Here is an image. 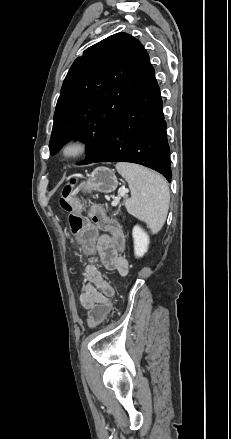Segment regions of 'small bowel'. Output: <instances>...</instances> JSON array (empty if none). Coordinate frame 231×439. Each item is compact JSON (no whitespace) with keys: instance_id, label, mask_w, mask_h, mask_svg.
<instances>
[{"instance_id":"c3829d8e","label":"small bowel","mask_w":231,"mask_h":439,"mask_svg":"<svg viewBox=\"0 0 231 439\" xmlns=\"http://www.w3.org/2000/svg\"><path fill=\"white\" fill-rule=\"evenodd\" d=\"M92 250L96 258L83 269V281L79 295L80 304L86 310L94 303L104 301L109 295L115 294L114 286L103 276L97 262H100L107 270L117 271L121 275L128 272L127 260L120 254L115 237L102 235Z\"/></svg>"}]
</instances>
